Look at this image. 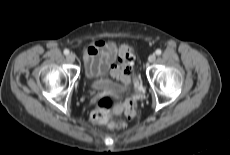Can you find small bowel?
<instances>
[{
	"label": "small bowel",
	"mask_w": 230,
	"mask_h": 155,
	"mask_svg": "<svg viewBox=\"0 0 230 155\" xmlns=\"http://www.w3.org/2000/svg\"><path fill=\"white\" fill-rule=\"evenodd\" d=\"M126 47L117 48L112 42L101 40L91 42L83 53L86 75L90 78L111 77L128 85L131 73H127L123 67Z\"/></svg>",
	"instance_id": "c3829d8e"
}]
</instances>
